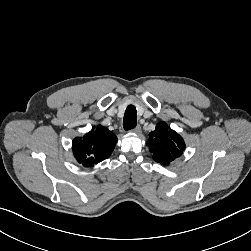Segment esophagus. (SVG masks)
Returning a JSON list of instances; mask_svg holds the SVG:
<instances>
[{
	"label": "esophagus",
	"mask_w": 251,
	"mask_h": 251,
	"mask_svg": "<svg viewBox=\"0 0 251 251\" xmlns=\"http://www.w3.org/2000/svg\"><path fill=\"white\" fill-rule=\"evenodd\" d=\"M131 131L134 132V133H136V134H140L141 133V127L140 126H136Z\"/></svg>",
	"instance_id": "esophagus-1"
}]
</instances>
